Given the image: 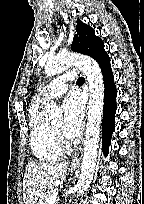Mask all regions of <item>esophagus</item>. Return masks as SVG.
<instances>
[{
  "instance_id": "34e87169",
  "label": "esophagus",
  "mask_w": 144,
  "mask_h": 204,
  "mask_svg": "<svg viewBox=\"0 0 144 204\" xmlns=\"http://www.w3.org/2000/svg\"><path fill=\"white\" fill-rule=\"evenodd\" d=\"M82 156H83V147L80 146L79 149L77 150V152L75 153L72 161H71V168L72 169H76L79 167Z\"/></svg>"
}]
</instances>
